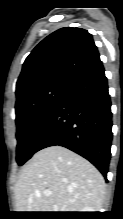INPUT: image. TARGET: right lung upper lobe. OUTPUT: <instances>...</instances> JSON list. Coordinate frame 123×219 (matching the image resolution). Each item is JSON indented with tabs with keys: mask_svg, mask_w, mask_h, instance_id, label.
Wrapping results in <instances>:
<instances>
[{
	"mask_svg": "<svg viewBox=\"0 0 123 219\" xmlns=\"http://www.w3.org/2000/svg\"><path fill=\"white\" fill-rule=\"evenodd\" d=\"M98 59L97 47L87 30L61 28L42 40L26 58L16 84V98L51 83H67Z\"/></svg>",
	"mask_w": 123,
	"mask_h": 219,
	"instance_id": "1",
	"label": "right lung upper lobe"
}]
</instances>
